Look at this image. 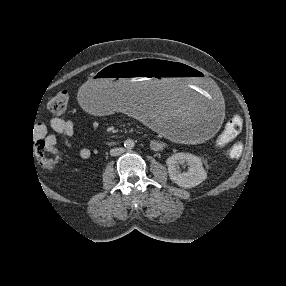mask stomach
Returning <instances> with one entry per match:
<instances>
[{"mask_svg":"<svg viewBox=\"0 0 286 286\" xmlns=\"http://www.w3.org/2000/svg\"><path fill=\"white\" fill-rule=\"evenodd\" d=\"M78 100L100 115L117 108L139 115L156 132L190 143L213 139L227 119L218 87L177 61L129 58L111 64L80 88Z\"/></svg>","mask_w":286,"mask_h":286,"instance_id":"1","label":"stomach"}]
</instances>
